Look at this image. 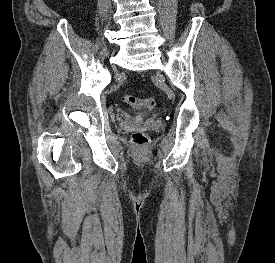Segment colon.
Returning a JSON list of instances; mask_svg holds the SVG:
<instances>
[{
	"instance_id": "colon-1",
	"label": "colon",
	"mask_w": 275,
	"mask_h": 263,
	"mask_svg": "<svg viewBox=\"0 0 275 263\" xmlns=\"http://www.w3.org/2000/svg\"><path fill=\"white\" fill-rule=\"evenodd\" d=\"M123 100L129 106L133 108H138L147 112L153 111L156 106V100L152 97L140 99L134 95L126 94L124 95ZM132 142L135 146L143 147L148 144L149 137L144 132H136L132 136Z\"/></svg>"
}]
</instances>
